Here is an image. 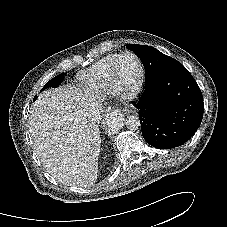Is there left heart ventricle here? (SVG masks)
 I'll use <instances>...</instances> for the list:
<instances>
[{"label":"left heart ventricle","instance_id":"obj_1","mask_svg":"<svg viewBox=\"0 0 227 227\" xmlns=\"http://www.w3.org/2000/svg\"><path fill=\"white\" fill-rule=\"evenodd\" d=\"M139 73L136 60L131 56H126L121 59L117 67V81L126 88H131L137 80Z\"/></svg>","mask_w":227,"mask_h":227}]
</instances>
